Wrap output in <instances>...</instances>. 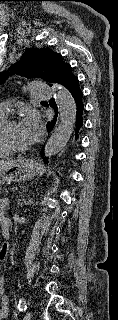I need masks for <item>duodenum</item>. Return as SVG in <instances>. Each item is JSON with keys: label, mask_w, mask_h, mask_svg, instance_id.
I'll return each mask as SVG.
<instances>
[{"label": "duodenum", "mask_w": 118, "mask_h": 320, "mask_svg": "<svg viewBox=\"0 0 118 320\" xmlns=\"http://www.w3.org/2000/svg\"><path fill=\"white\" fill-rule=\"evenodd\" d=\"M0 225L2 226L3 235L7 237L9 234V220L4 213H0Z\"/></svg>", "instance_id": "duodenum-1"}]
</instances>
